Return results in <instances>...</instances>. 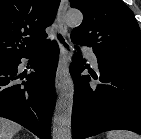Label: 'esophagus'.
I'll list each match as a JSON object with an SVG mask.
<instances>
[{
	"label": "esophagus",
	"instance_id": "34e87169",
	"mask_svg": "<svg viewBox=\"0 0 141 139\" xmlns=\"http://www.w3.org/2000/svg\"><path fill=\"white\" fill-rule=\"evenodd\" d=\"M67 7H68V0H61L59 11H58V25H59V30L63 36H66L68 32L65 23V13ZM67 75H68L67 52L64 46L61 45L60 60H59V64L56 72V79H55V88L57 94L61 91V88L65 82Z\"/></svg>",
	"mask_w": 141,
	"mask_h": 139
}]
</instances>
